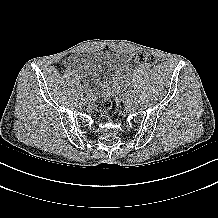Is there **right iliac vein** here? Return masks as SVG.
<instances>
[{
  "mask_svg": "<svg viewBox=\"0 0 218 218\" xmlns=\"http://www.w3.org/2000/svg\"><path fill=\"white\" fill-rule=\"evenodd\" d=\"M81 93L84 95L86 93V89L85 88H82L81 89Z\"/></svg>",
  "mask_w": 218,
  "mask_h": 218,
  "instance_id": "1",
  "label": "right iliac vein"
}]
</instances>
